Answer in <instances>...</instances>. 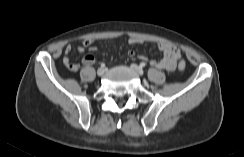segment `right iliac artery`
<instances>
[{"label": "right iliac artery", "instance_id": "obj_1", "mask_svg": "<svg viewBox=\"0 0 244 157\" xmlns=\"http://www.w3.org/2000/svg\"><path fill=\"white\" fill-rule=\"evenodd\" d=\"M101 67H102V68L105 67V63H101Z\"/></svg>", "mask_w": 244, "mask_h": 157}]
</instances>
